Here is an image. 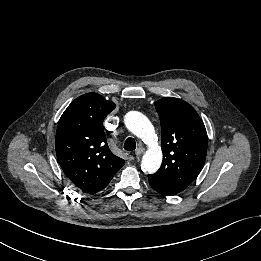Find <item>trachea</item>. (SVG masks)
<instances>
[{
	"label": "trachea",
	"mask_w": 261,
	"mask_h": 261,
	"mask_svg": "<svg viewBox=\"0 0 261 261\" xmlns=\"http://www.w3.org/2000/svg\"><path fill=\"white\" fill-rule=\"evenodd\" d=\"M136 148V142L134 140V138L129 137L126 139L125 143H124V149L126 151H133Z\"/></svg>",
	"instance_id": "trachea-1"
}]
</instances>
